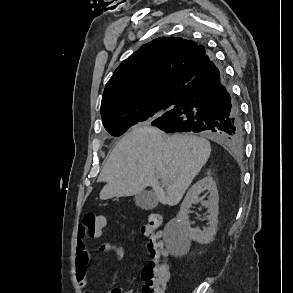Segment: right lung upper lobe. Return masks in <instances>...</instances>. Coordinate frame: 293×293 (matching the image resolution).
I'll return each mask as SVG.
<instances>
[{
  "label": "right lung upper lobe",
  "mask_w": 293,
  "mask_h": 293,
  "mask_svg": "<svg viewBox=\"0 0 293 293\" xmlns=\"http://www.w3.org/2000/svg\"><path fill=\"white\" fill-rule=\"evenodd\" d=\"M211 59L203 46L190 40H152L123 61L108 81L102 119L155 108L176 98Z\"/></svg>",
  "instance_id": "obj_1"
}]
</instances>
